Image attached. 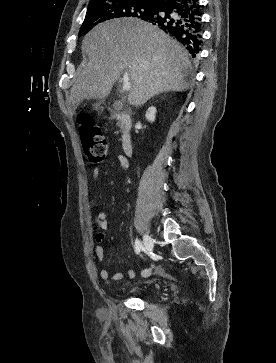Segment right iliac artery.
I'll return each mask as SVG.
<instances>
[{
	"label": "right iliac artery",
	"mask_w": 276,
	"mask_h": 363,
	"mask_svg": "<svg viewBox=\"0 0 276 363\" xmlns=\"http://www.w3.org/2000/svg\"><path fill=\"white\" fill-rule=\"evenodd\" d=\"M142 248H143L142 243L140 242V240L136 239L135 240V252H136V254H139Z\"/></svg>",
	"instance_id": "right-iliac-artery-1"
}]
</instances>
